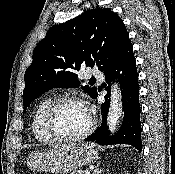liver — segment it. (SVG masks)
<instances>
[{
	"instance_id": "6515ba94",
	"label": "liver",
	"mask_w": 175,
	"mask_h": 174,
	"mask_svg": "<svg viewBox=\"0 0 175 174\" xmlns=\"http://www.w3.org/2000/svg\"><path fill=\"white\" fill-rule=\"evenodd\" d=\"M74 144H64V145H55L53 147H59V146H73Z\"/></svg>"
}]
</instances>
